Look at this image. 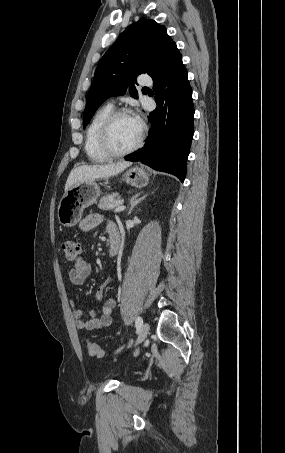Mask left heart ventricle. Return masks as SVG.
Masks as SVG:
<instances>
[{"mask_svg": "<svg viewBox=\"0 0 285 453\" xmlns=\"http://www.w3.org/2000/svg\"><path fill=\"white\" fill-rule=\"evenodd\" d=\"M141 131V126L132 116L119 117L111 132L112 143L118 150H124L135 144Z\"/></svg>", "mask_w": 285, "mask_h": 453, "instance_id": "1", "label": "left heart ventricle"}]
</instances>
